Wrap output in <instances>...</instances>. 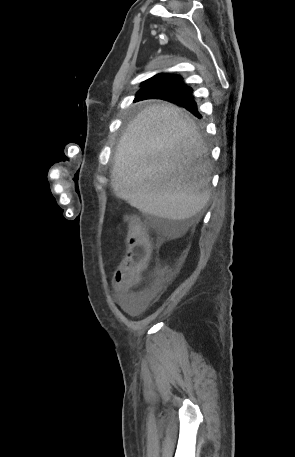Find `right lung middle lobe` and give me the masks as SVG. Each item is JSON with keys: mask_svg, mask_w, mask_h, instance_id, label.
Wrapping results in <instances>:
<instances>
[{"mask_svg": "<svg viewBox=\"0 0 295 457\" xmlns=\"http://www.w3.org/2000/svg\"><path fill=\"white\" fill-rule=\"evenodd\" d=\"M157 93H158L157 96L160 99H168L172 96L178 95V91H175L173 89H162V90L157 91Z\"/></svg>", "mask_w": 295, "mask_h": 457, "instance_id": "obj_1", "label": "right lung middle lobe"}]
</instances>
